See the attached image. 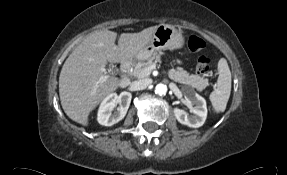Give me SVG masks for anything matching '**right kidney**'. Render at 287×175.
<instances>
[{"label": "right kidney", "instance_id": "1", "mask_svg": "<svg viewBox=\"0 0 287 175\" xmlns=\"http://www.w3.org/2000/svg\"><path fill=\"white\" fill-rule=\"evenodd\" d=\"M131 98L132 95L129 92H122L120 95L116 93L109 94L100 104L97 115L98 123L104 126H112L122 120L128 111ZM117 104H119V107L113 112Z\"/></svg>", "mask_w": 287, "mask_h": 175}]
</instances>
